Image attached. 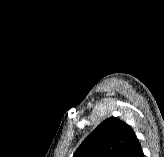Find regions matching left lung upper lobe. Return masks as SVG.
<instances>
[{"label":"left lung upper lobe","instance_id":"5c2ea615","mask_svg":"<svg viewBox=\"0 0 164 157\" xmlns=\"http://www.w3.org/2000/svg\"><path fill=\"white\" fill-rule=\"evenodd\" d=\"M135 139L129 125L110 117L86 137L73 157H125Z\"/></svg>","mask_w":164,"mask_h":157}]
</instances>
